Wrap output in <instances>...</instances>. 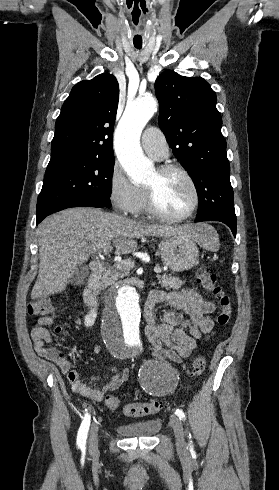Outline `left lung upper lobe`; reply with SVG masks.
Returning <instances> with one entry per match:
<instances>
[{
    "label": "left lung upper lobe",
    "instance_id": "5c2ea615",
    "mask_svg": "<svg viewBox=\"0 0 279 490\" xmlns=\"http://www.w3.org/2000/svg\"><path fill=\"white\" fill-rule=\"evenodd\" d=\"M155 92L160 103L159 126L197 190L196 218L216 214L236 219L215 92L203 78L184 77L171 70L159 75Z\"/></svg>",
    "mask_w": 279,
    "mask_h": 490
}]
</instances>
